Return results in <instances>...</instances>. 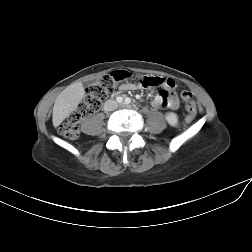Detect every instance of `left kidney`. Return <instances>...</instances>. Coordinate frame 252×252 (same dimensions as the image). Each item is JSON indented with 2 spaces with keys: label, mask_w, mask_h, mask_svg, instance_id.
I'll return each mask as SVG.
<instances>
[{
  "label": "left kidney",
  "mask_w": 252,
  "mask_h": 252,
  "mask_svg": "<svg viewBox=\"0 0 252 252\" xmlns=\"http://www.w3.org/2000/svg\"><path fill=\"white\" fill-rule=\"evenodd\" d=\"M165 119L171 126H176L178 124V116L174 112L167 113Z\"/></svg>",
  "instance_id": "obj_1"
}]
</instances>
